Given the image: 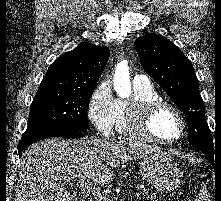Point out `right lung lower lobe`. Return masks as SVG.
<instances>
[{
    "label": "right lung lower lobe",
    "instance_id": "obj_1",
    "mask_svg": "<svg viewBox=\"0 0 221 201\" xmlns=\"http://www.w3.org/2000/svg\"><path fill=\"white\" fill-rule=\"evenodd\" d=\"M50 137L80 138L83 137V134L81 131L67 128H44L33 132H25L18 144L19 156L30 144Z\"/></svg>",
    "mask_w": 221,
    "mask_h": 201
}]
</instances>
